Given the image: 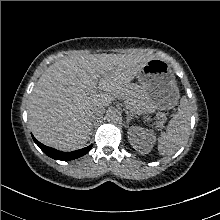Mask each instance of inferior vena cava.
Returning a JSON list of instances; mask_svg holds the SVG:
<instances>
[{"label":"inferior vena cava","instance_id":"602c4592","mask_svg":"<svg viewBox=\"0 0 220 220\" xmlns=\"http://www.w3.org/2000/svg\"><path fill=\"white\" fill-rule=\"evenodd\" d=\"M105 112V108H95L90 112V119L91 121L99 120L103 117V114Z\"/></svg>","mask_w":220,"mask_h":220}]
</instances>
